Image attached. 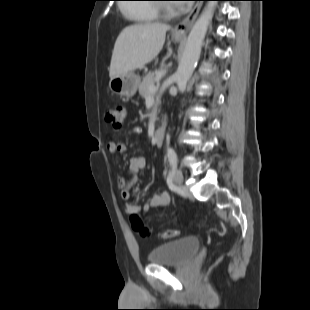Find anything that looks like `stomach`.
Wrapping results in <instances>:
<instances>
[{"label":"stomach","instance_id":"0dacf381","mask_svg":"<svg viewBox=\"0 0 310 310\" xmlns=\"http://www.w3.org/2000/svg\"><path fill=\"white\" fill-rule=\"evenodd\" d=\"M175 41H180L181 37H174ZM140 84V78L133 72L110 79L109 89L120 96L132 97L135 95Z\"/></svg>","mask_w":310,"mask_h":310}]
</instances>
